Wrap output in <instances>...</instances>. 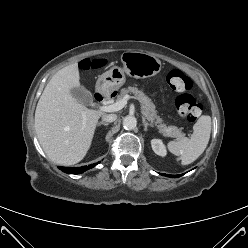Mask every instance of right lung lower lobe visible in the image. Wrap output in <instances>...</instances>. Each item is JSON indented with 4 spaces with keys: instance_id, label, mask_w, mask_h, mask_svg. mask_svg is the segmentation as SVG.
<instances>
[{
    "instance_id": "98d812e1",
    "label": "right lung lower lobe",
    "mask_w": 248,
    "mask_h": 248,
    "mask_svg": "<svg viewBox=\"0 0 248 248\" xmlns=\"http://www.w3.org/2000/svg\"><path fill=\"white\" fill-rule=\"evenodd\" d=\"M99 163V162H98ZM98 163L96 164H91V165H88V166H82V167H61L59 166L58 168L65 172V173H68V174H80V173H83L85 172L86 170L88 169H91L93 168L94 166H96Z\"/></svg>"
}]
</instances>
